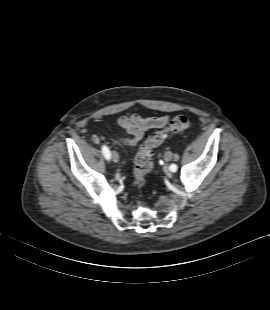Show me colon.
Masks as SVG:
<instances>
[{
    "label": "colon",
    "instance_id": "5ec220e1",
    "mask_svg": "<svg viewBox=\"0 0 270 310\" xmlns=\"http://www.w3.org/2000/svg\"><path fill=\"white\" fill-rule=\"evenodd\" d=\"M190 120L183 115L173 117L168 125L145 140L138 148L135 156L133 184L142 188L146 184V176L153 169L152 150L162 144L170 133L182 132L189 129Z\"/></svg>",
    "mask_w": 270,
    "mask_h": 310
}]
</instances>
